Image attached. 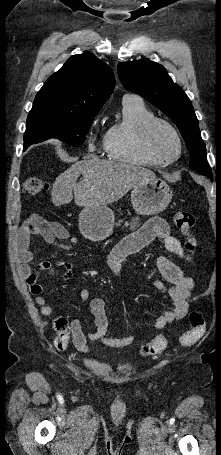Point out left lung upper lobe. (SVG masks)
I'll list each match as a JSON object with an SVG mask.
<instances>
[{
	"label": "left lung upper lobe",
	"mask_w": 221,
	"mask_h": 455,
	"mask_svg": "<svg viewBox=\"0 0 221 455\" xmlns=\"http://www.w3.org/2000/svg\"><path fill=\"white\" fill-rule=\"evenodd\" d=\"M123 86L139 94L178 127L191 156L190 167L206 176L211 168L206 160V147L201 138L198 119L183 89L173 82L166 69L148 58L135 62H123L117 66Z\"/></svg>",
	"instance_id": "1"
}]
</instances>
